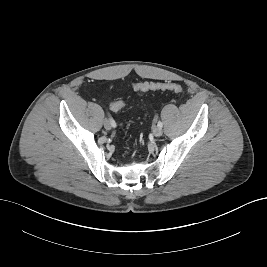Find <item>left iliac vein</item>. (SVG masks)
<instances>
[{
  "instance_id": "obj_1",
  "label": "left iliac vein",
  "mask_w": 267,
  "mask_h": 267,
  "mask_svg": "<svg viewBox=\"0 0 267 267\" xmlns=\"http://www.w3.org/2000/svg\"><path fill=\"white\" fill-rule=\"evenodd\" d=\"M163 131H162V128L159 127V126H156L153 128V134L156 136V137H160L162 135Z\"/></svg>"
}]
</instances>
